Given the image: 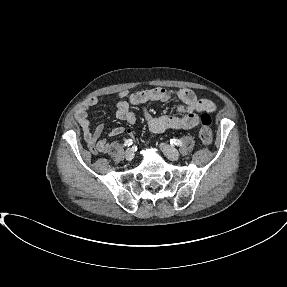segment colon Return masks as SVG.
Returning a JSON list of instances; mask_svg holds the SVG:
<instances>
[{
	"mask_svg": "<svg viewBox=\"0 0 287 287\" xmlns=\"http://www.w3.org/2000/svg\"><path fill=\"white\" fill-rule=\"evenodd\" d=\"M211 122L212 120L208 113H203L200 116L199 139L205 146H209L212 143Z\"/></svg>",
	"mask_w": 287,
	"mask_h": 287,
	"instance_id": "1",
	"label": "colon"
}]
</instances>
